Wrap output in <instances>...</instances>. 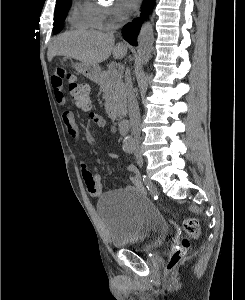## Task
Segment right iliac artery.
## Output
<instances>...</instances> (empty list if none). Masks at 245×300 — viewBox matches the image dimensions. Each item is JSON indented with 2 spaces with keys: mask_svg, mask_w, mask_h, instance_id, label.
<instances>
[{
  "mask_svg": "<svg viewBox=\"0 0 245 300\" xmlns=\"http://www.w3.org/2000/svg\"><path fill=\"white\" fill-rule=\"evenodd\" d=\"M134 149H135V148H134L133 146H127V147H125L124 150H125L126 152H128V153H132V152L134 151Z\"/></svg>",
  "mask_w": 245,
  "mask_h": 300,
  "instance_id": "82829eb1",
  "label": "right iliac artery"
}]
</instances>
